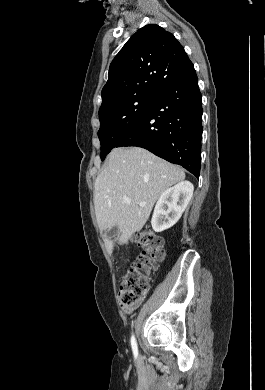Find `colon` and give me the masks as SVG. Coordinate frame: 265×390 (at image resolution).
<instances>
[{
    "label": "colon",
    "instance_id": "obj_1",
    "mask_svg": "<svg viewBox=\"0 0 265 390\" xmlns=\"http://www.w3.org/2000/svg\"><path fill=\"white\" fill-rule=\"evenodd\" d=\"M136 243L141 252L120 281L119 301L122 306H131L146 296L152 274L163 258V240L153 231H141Z\"/></svg>",
    "mask_w": 265,
    "mask_h": 390
}]
</instances>
